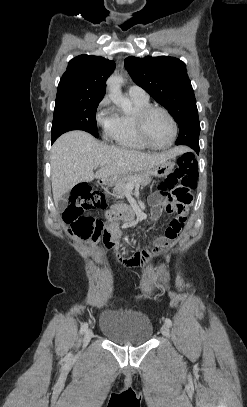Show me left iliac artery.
Returning a JSON list of instances; mask_svg holds the SVG:
<instances>
[{"label": "left iliac artery", "mask_w": 247, "mask_h": 407, "mask_svg": "<svg viewBox=\"0 0 247 407\" xmlns=\"http://www.w3.org/2000/svg\"><path fill=\"white\" fill-rule=\"evenodd\" d=\"M165 323H166L168 326H172V321H171V319H169V318H166V319H165Z\"/></svg>", "instance_id": "left-iliac-artery-1"}]
</instances>
